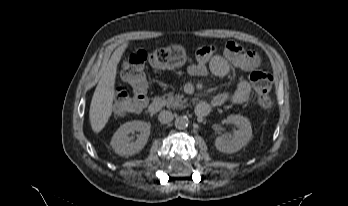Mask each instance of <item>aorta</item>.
Returning <instances> with one entry per match:
<instances>
[{
    "label": "aorta",
    "mask_w": 348,
    "mask_h": 206,
    "mask_svg": "<svg viewBox=\"0 0 348 206\" xmlns=\"http://www.w3.org/2000/svg\"><path fill=\"white\" fill-rule=\"evenodd\" d=\"M174 124L177 129L184 130L189 125V119L187 116H178Z\"/></svg>",
    "instance_id": "obj_1"
}]
</instances>
